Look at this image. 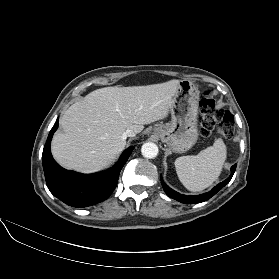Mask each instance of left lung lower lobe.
<instances>
[{
    "instance_id": "1",
    "label": "left lung lower lobe",
    "mask_w": 279,
    "mask_h": 279,
    "mask_svg": "<svg viewBox=\"0 0 279 279\" xmlns=\"http://www.w3.org/2000/svg\"><path fill=\"white\" fill-rule=\"evenodd\" d=\"M235 170H236V164L231 167V175L226 180H224L223 182L216 185L211 191H209L207 193H204V194H201V195H198V196H187V195L180 194V193L172 190L170 187H168L163 182L162 178H161V184L163 186L164 191L166 192V194L169 197H171V198H173V199H175V200H177L181 203H184V204L200 203V202H204V201L210 199L219 190H221L226 184H228L229 181L231 180Z\"/></svg>"
}]
</instances>
